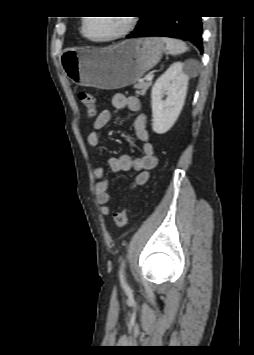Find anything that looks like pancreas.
Returning <instances> with one entry per match:
<instances>
[{
	"label": "pancreas",
	"instance_id": "obj_1",
	"mask_svg": "<svg viewBox=\"0 0 254 355\" xmlns=\"http://www.w3.org/2000/svg\"><path fill=\"white\" fill-rule=\"evenodd\" d=\"M152 85V82H141L136 84L134 87L137 89L136 94L144 96L146 94V91L149 89V87Z\"/></svg>",
	"mask_w": 254,
	"mask_h": 355
}]
</instances>
